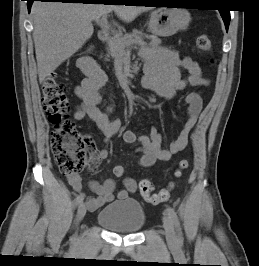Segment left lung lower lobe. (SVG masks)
I'll use <instances>...</instances> for the list:
<instances>
[{
	"mask_svg": "<svg viewBox=\"0 0 259 266\" xmlns=\"http://www.w3.org/2000/svg\"><path fill=\"white\" fill-rule=\"evenodd\" d=\"M148 3H153V2H148ZM154 3H165L163 1L160 2H154ZM221 12V16L223 18L226 30L228 31L229 23H230V11L226 9H221L219 10Z\"/></svg>",
	"mask_w": 259,
	"mask_h": 266,
	"instance_id": "obj_1",
	"label": "left lung lower lobe"
}]
</instances>
